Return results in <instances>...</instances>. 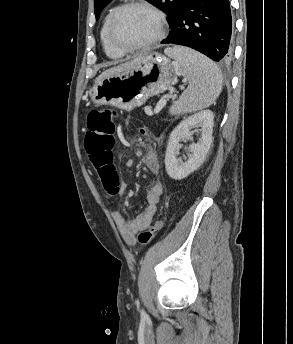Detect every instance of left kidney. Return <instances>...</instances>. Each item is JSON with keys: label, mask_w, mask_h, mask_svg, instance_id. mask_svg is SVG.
I'll return each mask as SVG.
<instances>
[{"label": "left kidney", "mask_w": 293, "mask_h": 344, "mask_svg": "<svg viewBox=\"0 0 293 344\" xmlns=\"http://www.w3.org/2000/svg\"><path fill=\"white\" fill-rule=\"evenodd\" d=\"M214 114L210 110H203L182 120L169 136L165 154V167L168 175L174 180L186 178L197 170L204 162L212 144ZM201 127V138L190 146L191 155L187 161L176 157L179 142L190 138V129Z\"/></svg>", "instance_id": "1"}]
</instances>
